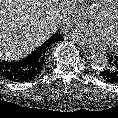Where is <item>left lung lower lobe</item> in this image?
<instances>
[{"instance_id": "left-lung-lower-lobe-1", "label": "left lung lower lobe", "mask_w": 118, "mask_h": 118, "mask_svg": "<svg viewBox=\"0 0 118 118\" xmlns=\"http://www.w3.org/2000/svg\"><path fill=\"white\" fill-rule=\"evenodd\" d=\"M100 75L106 82L118 84V54L109 57L108 65Z\"/></svg>"}]
</instances>
